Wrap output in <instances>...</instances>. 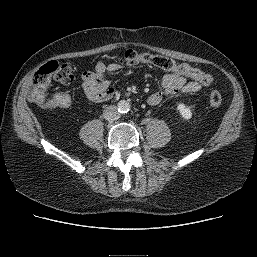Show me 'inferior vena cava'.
Listing matches in <instances>:
<instances>
[{"label": "inferior vena cava", "mask_w": 257, "mask_h": 257, "mask_svg": "<svg viewBox=\"0 0 257 257\" xmlns=\"http://www.w3.org/2000/svg\"><path fill=\"white\" fill-rule=\"evenodd\" d=\"M103 116L106 120H117L120 117V113L115 105L108 106L104 112Z\"/></svg>", "instance_id": "602c4592"}]
</instances>
